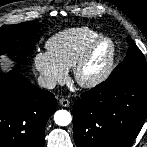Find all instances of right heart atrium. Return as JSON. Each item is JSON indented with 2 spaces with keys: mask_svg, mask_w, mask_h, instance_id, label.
I'll return each mask as SVG.
<instances>
[{
  "mask_svg": "<svg viewBox=\"0 0 147 147\" xmlns=\"http://www.w3.org/2000/svg\"><path fill=\"white\" fill-rule=\"evenodd\" d=\"M33 66L42 84L48 88H53L67 79L68 70L48 52L36 53L33 58Z\"/></svg>",
  "mask_w": 147,
  "mask_h": 147,
  "instance_id": "1",
  "label": "right heart atrium"
}]
</instances>
